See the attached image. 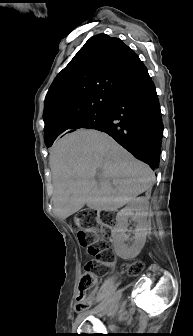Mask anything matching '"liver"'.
<instances>
[{"label": "liver", "instance_id": "liver-1", "mask_svg": "<svg viewBox=\"0 0 193 336\" xmlns=\"http://www.w3.org/2000/svg\"><path fill=\"white\" fill-rule=\"evenodd\" d=\"M49 163L54 212L62 220L85 204L97 211H115L150 190L155 181L147 164L96 130H79L58 140Z\"/></svg>", "mask_w": 193, "mask_h": 336}]
</instances>
